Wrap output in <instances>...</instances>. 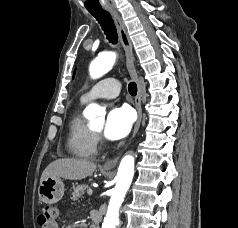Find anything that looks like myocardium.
I'll return each mask as SVG.
<instances>
[{
  "label": "myocardium",
  "instance_id": "obj_1",
  "mask_svg": "<svg viewBox=\"0 0 238 228\" xmlns=\"http://www.w3.org/2000/svg\"><path fill=\"white\" fill-rule=\"evenodd\" d=\"M91 129H92V128H91ZM92 131H93V133H94V135H95L97 141L101 140V133H100V131H97V130H95V129H92Z\"/></svg>",
  "mask_w": 238,
  "mask_h": 228
}]
</instances>
